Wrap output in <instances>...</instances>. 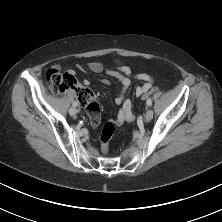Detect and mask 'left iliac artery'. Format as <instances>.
I'll list each match as a JSON object with an SVG mask.
<instances>
[{"label": "left iliac artery", "instance_id": "left-iliac-artery-1", "mask_svg": "<svg viewBox=\"0 0 222 222\" xmlns=\"http://www.w3.org/2000/svg\"><path fill=\"white\" fill-rule=\"evenodd\" d=\"M146 104H147L148 106H151V105H152V100H151V98H148V99H147Z\"/></svg>", "mask_w": 222, "mask_h": 222}]
</instances>
